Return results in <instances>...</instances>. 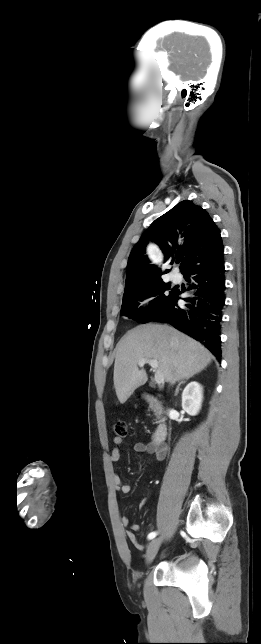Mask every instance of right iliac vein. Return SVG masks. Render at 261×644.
<instances>
[{
  "label": "right iliac vein",
  "mask_w": 261,
  "mask_h": 644,
  "mask_svg": "<svg viewBox=\"0 0 261 644\" xmlns=\"http://www.w3.org/2000/svg\"><path fill=\"white\" fill-rule=\"evenodd\" d=\"M160 545H161V538H156L149 543L147 552H146L147 564H150L154 560Z\"/></svg>",
  "instance_id": "1"
}]
</instances>
